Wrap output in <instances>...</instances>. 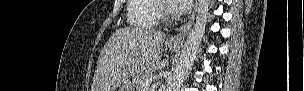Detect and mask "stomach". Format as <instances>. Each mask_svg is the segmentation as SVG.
<instances>
[{
  "label": "stomach",
  "mask_w": 304,
  "mask_h": 91,
  "mask_svg": "<svg viewBox=\"0 0 304 91\" xmlns=\"http://www.w3.org/2000/svg\"><path fill=\"white\" fill-rule=\"evenodd\" d=\"M168 48L172 51L177 49V47L170 46V45H168ZM118 91H134V88L130 82H125L120 86Z\"/></svg>",
  "instance_id": "stomach-1"
}]
</instances>
